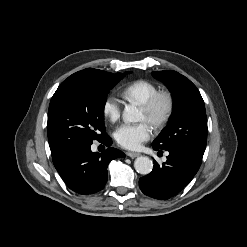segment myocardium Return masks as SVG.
Masks as SVG:
<instances>
[{"mask_svg":"<svg viewBox=\"0 0 247 247\" xmlns=\"http://www.w3.org/2000/svg\"><path fill=\"white\" fill-rule=\"evenodd\" d=\"M160 104H163V109L158 112ZM174 107V96L169 91H158L141 105V109L145 111L150 124L155 129H161L169 122L173 115Z\"/></svg>","mask_w":247,"mask_h":247,"instance_id":"f54148a6","label":"myocardium"}]
</instances>
